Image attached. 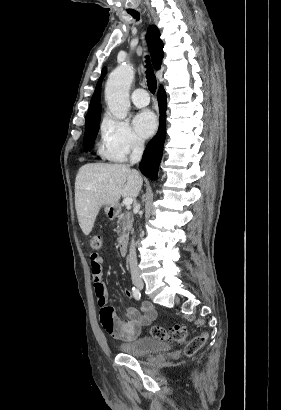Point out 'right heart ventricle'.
Segmentation results:
<instances>
[{"label":"right heart ventricle","mask_w":281,"mask_h":410,"mask_svg":"<svg viewBox=\"0 0 281 410\" xmlns=\"http://www.w3.org/2000/svg\"><path fill=\"white\" fill-rule=\"evenodd\" d=\"M99 152H100L101 154H103V145H102V144H100V146H99Z\"/></svg>","instance_id":"1"}]
</instances>
